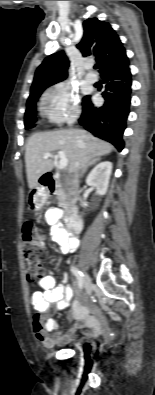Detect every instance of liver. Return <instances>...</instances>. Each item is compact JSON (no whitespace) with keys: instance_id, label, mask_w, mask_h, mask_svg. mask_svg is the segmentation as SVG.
<instances>
[{"instance_id":"1","label":"liver","mask_w":155,"mask_h":395,"mask_svg":"<svg viewBox=\"0 0 155 395\" xmlns=\"http://www.w3.org/2000/svg\"><path fill=\"white\" fill-rule=\"evenodd\" d=\"M113 146L83 129H60L32 135L27 142L25 163L30 189L38 185L39 178L50 172L55 155L44 159L47 152L63 151L68 159V169L74 171L75 164L84 169L95 158L111 153Z\"/></svg>"}]
</instances>
